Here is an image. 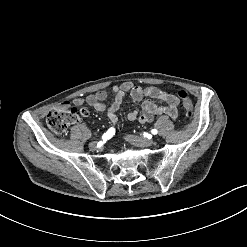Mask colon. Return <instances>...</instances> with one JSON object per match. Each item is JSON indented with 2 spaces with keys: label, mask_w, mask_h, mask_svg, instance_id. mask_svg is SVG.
<instances>
[{
  "label": "colon",
  "mask_w": 247,
  "mask_h": 247,
  "mask_svg": "<svg viewBox=\"0 0 247 247\" xmlns=\"http://www.w3.org/2000/svg\"><path fill=\"white\" fill-rule=\"evenodd\" d=\"M177 95L183 103L186 116L189 119H194L196 116L195 109L191 103L189 94L184 90H178ZM78 120L77 110H60L52 109L46 116V124L52 133L63 134L67 131L70 125Z\"/></svg>",
  "instance_id": "5ec220e1"
}]
</instances>
